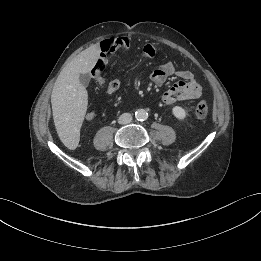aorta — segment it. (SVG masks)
Masks as SVG:
<instances>
[{"label":"aorta","instance_id":"aorta-1","mask_svg":"<svg viewBox=\"0 0 261 261\" xmlns=\"http://www.w3.org/2000/svg\"><path fill=\"white\" fill-rule=\"evenodd\" d=\"M135 117L137 120L144 121L148 118V112L145 109H138L135 112Z\"/></svg>","mask_w":261,"mask_h":261}]
</instances>
